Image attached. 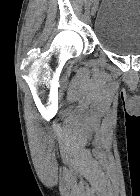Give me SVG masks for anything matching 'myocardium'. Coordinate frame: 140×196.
I'll return each instance as SVG.
<instances>
[{"label": "myocardium", "mask_w": 140, "mask_h": 196, "mask_svg": "<svg viewBox=\"0 0 140 196\" xmlns=\"http://www.w3.org/2000/svg\"><path fill=\"white\" fill-rule=\"evenodd\" d=\"M89 192H112V191H89ZM119 192H125V191H119Z\"/></svg>", "instance_id": "f54148a6"}]
</instances>
